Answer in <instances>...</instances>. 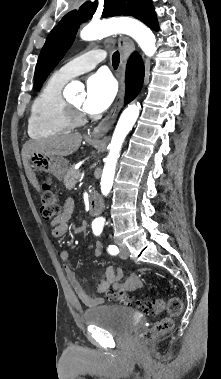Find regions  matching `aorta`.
Instances as JSON below:
<instances>
[{"mask_svg":"<svg viewBox=\"0 0 221 379\" xmlns=\"http://www.w3.org/2000/svg\"><path fill=\"white\" fill-rule=\"evenodd\" d=\"M116 33H125L131 36L138 43L142 51L149 57L153 56L156 52L155 36L153 32L142 22L129 17L90 23L82 29L80 37L82 40L91 41ZM77 90L76 82L70 83L65 89V91L72 93H76ZM140 108L141 106L139 103L129 104L118 120L109 144V154L105 159V165L101 177V192L104 196H107L111 191L122 144L135 124L140 113ZM94 223L97 226H103L104 219L100 217L96 218Z\"/></svg>","mask_w":221,"mask_h":379,"instance_id":"1","label":"aorta"}]
</instances>
